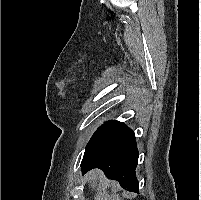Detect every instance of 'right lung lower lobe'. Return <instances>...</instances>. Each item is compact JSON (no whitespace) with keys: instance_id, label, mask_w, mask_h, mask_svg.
<instances>
[{"instance_id":"98d812e1","label":"right lung lower lobe","mask_w":201,"mask_h":200,"mask_svg":"<svg viewBox=\"0 0 201 200\" xmlns=\"http://www.w3.org/2000/svg\"><path fill=\"white\" fill-rule=\"evenodd\" d=\"M138 149L134 132L115 120L101 125L88 142L81 163L82 174L93 168L104 171L107 178L117 180L122 188L139 192L135 169Z\"/></svg>"}]
</instances>
